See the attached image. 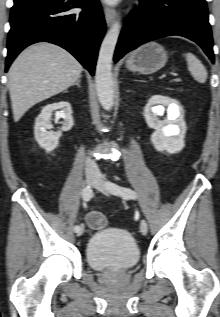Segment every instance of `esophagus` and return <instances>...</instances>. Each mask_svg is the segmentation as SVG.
<instances>
[{
    "mask_svg": "<svg viewBox=\"0 0 220 317\" xmlns=\"http://www.w3.org/2000/svg\"><path fill=\"white\" fill-rule=\"evenodd\" d=\"M104 16H105L107 25L110 26L116 17L115 9L106 6L104 8Z\"/></svg>",
    "mask_w": 220,
    "mask_h": 317,
    "instance_id": "esophagus-1",
    "label": "esophagus"
}]
</instances>
